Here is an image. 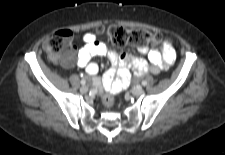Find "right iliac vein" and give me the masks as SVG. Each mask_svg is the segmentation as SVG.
I'll use <instances>...</instances> for the list:
<instances>
[{"label": "right iliac vein", "mask_w": 225, "mask_h": 155, "mask_svg": "<svg viewBox=\"0 0 225 155\" xmlns=\"http://www.w3.org/2000/svg\"><path fill=\"white\" fill-rule=\"evenodd\" d=\"M88 91V87L87 86H82L81 88H80V92L81 93H86Z\"/></svg>", "instance_id": "1"}]
</instances>
